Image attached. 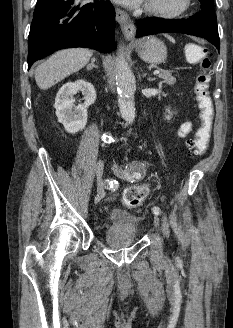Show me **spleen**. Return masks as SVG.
Wrapping results in <instances>:
<instances>
[{
    "label": "spleen",
    "instance_id": "spleen-1",
    "mask_svg": "<svg viewBox=\"0 0 233 328\" xmlns=\"http://www.w3.org/2000/svg\"><path fill=\"white\" fill-rule=\"evenodd\" d=\"M191 50H192V52H194L198 57L201 55V53H200V49L197 47V46H195V45H189L188 46Z\"/></svg>",
    "mask_w": 233,
    "mask_h": 328
}]
</instances>
